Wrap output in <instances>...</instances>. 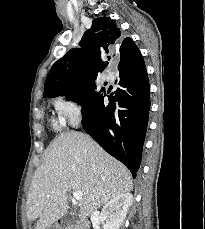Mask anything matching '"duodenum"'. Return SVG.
<instances>
[{
    "mask_svg": "<svg viewBox=\"0 0 205 229\" xmlns=\"http://www.w3.org/2000/svg\"><path fill=\"white\" fill-rule=\"evenodd\" d=\"M67 222L68 221L66 219H61L60 220L61 224H65ZM72 229H86V226H85V224H76Z\"/></svg>",
    "mask_w": 205,
    "mask_h": 229,
    "instance_id": "410a0bca",
    "label": "duodenum"
}]
</instances>
